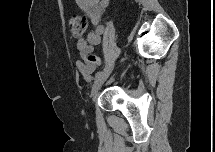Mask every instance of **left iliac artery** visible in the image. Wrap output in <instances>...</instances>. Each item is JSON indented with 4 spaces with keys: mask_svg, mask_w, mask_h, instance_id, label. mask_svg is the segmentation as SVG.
<instances>
[{
    "mask_svg": "<svg viewBox=\"0 0 215 152\" xmlns=\"http://www.w3.org/2000/svg\"><path fill=\"white\" fill-rule=\"evenodd\" d=\"M100 75H101V72L99 71L95 74V77L98 78Z\"/></svg>",
    "mask_w": 215,
    "mask_h": 152,
    "instance_id": "left-iliac-artery-1",
    "label": "left iliac artery"
}]
</instances>
